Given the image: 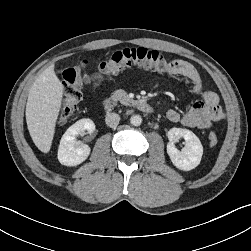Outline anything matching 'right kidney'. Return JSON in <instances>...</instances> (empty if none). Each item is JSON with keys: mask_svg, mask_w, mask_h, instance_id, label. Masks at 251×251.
I'll list each match as a JSON object with an SVG mask.
<instances>
[{"mask_svg": "<svg viewBox=\"0 0 251 251\" xmlns=\"http://www.w3.org/2000/svg\"><path fill=\"white\" fill-rule=\"evenodd\" d=\"M95 124L91 119H81L70 126L61 138L58 148V160L65 166H76L87 159L90 147L86 144L78 146L77 135L93 133Z\"/></svg>", "mask_w": 251, "mask_h": 251, "instance_id": "obj_1", "label": "right kidney"}]
</instances>
